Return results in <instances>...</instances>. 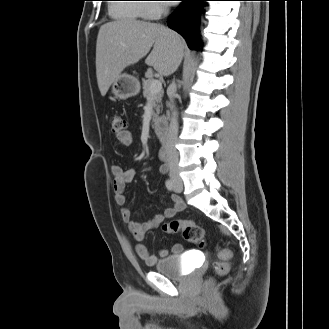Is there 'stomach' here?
Segmentation results:
<instances>
[{"mask_svg": "<svg viewBox=\"0 0 329 329\" xmlns=\"http://www.w3.org/2000/svg\"><path fill=\"white\" fill-rule=\"evenodd\" d=\"M140 92L138 79L129 74H122L112 83V93L116 98L125 100Z\"/></svg>", "mask_w": 329, "mask_h": 329, "instance_id": "1", "label": "stomach"}]
</instances>
